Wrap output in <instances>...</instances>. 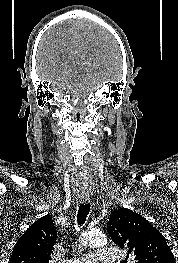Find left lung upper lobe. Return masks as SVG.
<instances>
[{
	"label": "left lung upper lobe",
	"mask_w": 178,
	"mask_h": 263,
	"mask_svg": "<svg viewBox=\"0 0 178 263\" xmlns=\"http://www.w3.org/2000/svg\"><path fill=\"white\" fill-rule=\"evenodd\" d=\"M108 233L135 263H176L165 237L141 215L121 208L110 215Z\"/></svg>",
	"instance_id": "left-lung-upper-lobe-1"
}]
</instances>
